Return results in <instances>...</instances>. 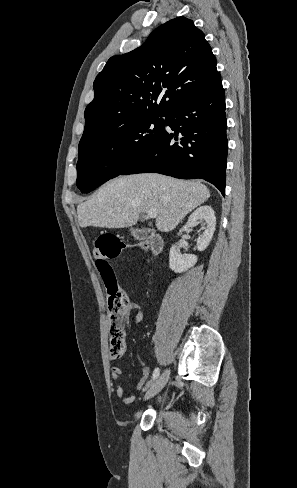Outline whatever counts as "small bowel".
<instances>
[{"label":"small bowel","instance_id":"c3829d8e","mask_svg":"<svg viewBox=\"0 0 297 488\" xmlns=\"http://www.w3.org/2000/svg\"><path fill=\"white\" fill-rule=\"evenodd\" d=\"M130 311L135 312V322L141 323L143 321V312L141 307L136 302H130ZM122 374V368L118 365H112L111 367V379L114 383L115 392L118 398L124 404H131L135 401V396L125 395L124 389L120 384V375ZM150 375V369L148 367H143L141 370V377L137 383V390H145L148 388V378Z\"/></svg>","mask_w":297,"mask_h":488}]
</instances>
